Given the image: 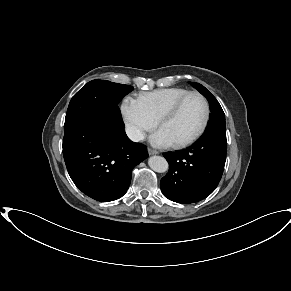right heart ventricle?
<instances>
[{"label":"right heart ventricle","mask_w":291,"mask_h":291,"mask_svg":"<svg viewBox=\"0 0 291 291\" xmlns=\"http://www.w3.org/2000/svg\"><path fill=\"white\" fill-rule=\"evenodd\" d=\"M189 92L183 88H163L141 93L138 100L149 116L157 122L173 104Z\"/></svg>","instance_id":"obj_1"}]
</instances>
